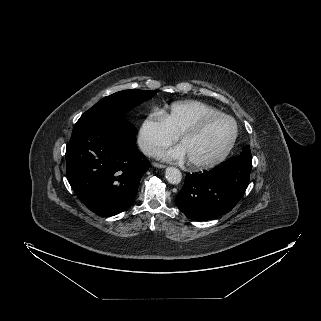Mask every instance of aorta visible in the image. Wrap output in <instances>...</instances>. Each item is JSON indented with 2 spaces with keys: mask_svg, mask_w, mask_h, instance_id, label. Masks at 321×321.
<instances>
[{
  "mask_svg": "<svg viewBox=\"0 0 321 321\" xmlns=\"http://www.w3.org/2000/svg\"><path fill=\"white\" fill-rule=\"evenodd\" d=\"M165 177L170 184H179L182 179V174L180 170L175 167H167Z\"/></svg>",
  "mask_w": 321,
  "mask_h": 321,
  "instance_id": "obj_1",
  "label": "aorta"
}]
</instances>
